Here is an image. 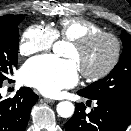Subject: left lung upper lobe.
<instances>
[{"label": "left lung upper lobe", "instance_id": "obj_1", "mask_svg": "<svg viewBox=\"0 0 131 131\" xmlns=\"http://www.w3.org/2000/svg\"><path fill=\"white\" fill-rule=\"evenodd\" d=\"M123 51L120 60L108 76L81 91L90 98L115 101L131 109V36L121 34Z\"/></svg>", "mask_w": 131, "mask_h": 131}]
</instances>
